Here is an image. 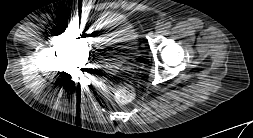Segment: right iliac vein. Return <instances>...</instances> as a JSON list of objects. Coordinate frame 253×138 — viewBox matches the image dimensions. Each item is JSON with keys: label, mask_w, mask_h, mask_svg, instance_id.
Listing matches in <instances>:
<instances>
[{"label": "right iliac vein", "mask_w": 253, "mask_h": 138, "mask_svg": "<svg viewBox=\"0 0 253 138\" xmlns=\"http://www.w3.org/2000/svg\"><path fill=\"white\" fill-rule=\"evenodd\" d=\"M72 29H73L74 31H77V30L79 29V26H78L77 24H74V25L72 26Z\"/></svg>", "instance_id": "63e3f726"}]
</instances>
